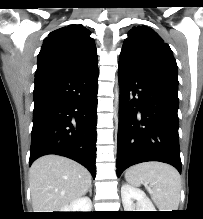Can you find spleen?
Segmentation results:
<instances>
[{"label":"spleen","mask_w":203,"mask_h":219,"mask_svg":"<svg viewBox=\"0 0 203 219\" xmlns=\"http://www.w3.org/2000/svg\"><path fill=\"white\" fill-rule=\"evenodd\" d=\"M126 180L134 185L149 184L153 202L159 211L178 210L181 178L175 168L160 162H145L130 167Z\"/></svg>","instance_id":"1"}]
</instances>
